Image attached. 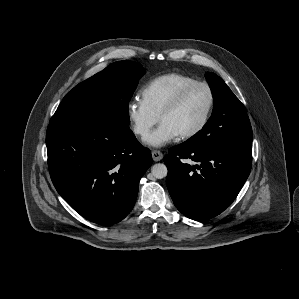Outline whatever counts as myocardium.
Instances as JSON below:
<instances>
[{"label":"myocardium","instance_id":"obj_1","mask_svg":"<svg viewBox=\"0 0 299 299\" xmlns=\"http://www.w3.org/2000/svg\"><path fill=\"white\" fill-rule=\"evenodd\" d=\"M195 87H203L207 90L208 97H209L208 106L201 122L192 130L179 135L181 139H190L197 136L205 129V127L209 123V120L211 118L214 109V104H215V95L212 87L207 82L204 81H195L184 86L174 95V97L162 109L159 115V120L161 121L165 115L175 110L184 100L186 95Z\"/></svg>","mask_w":299,"mask_h":299}]
</instances>
